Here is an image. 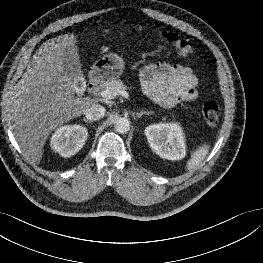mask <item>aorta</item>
Instances as JSON below:
<instances>
[{
  "label": "aorta",
  "instance_id": "aorta-1",
  "mask_svg": "<svg viewBox=\"0 0 263 263\" xmlns=\"http://www.w3.org/2000/svg\"><path fill=\"white\" fill-rule=\"evenodd\" d=\"M115 131L124 134L127 133L130 130V122L127 118H119L115 122Z\"/></svg>",
  "mask_w": 263,
  "mask_h": 263
}]
</instances>
